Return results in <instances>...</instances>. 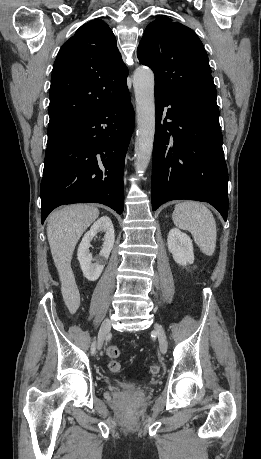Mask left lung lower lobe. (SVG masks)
I'll return each instance as SVG.
<instances>
[{"label": "left lung lower lobe", "mask_w": 261, "mask_h": 459, "mask_svg": "<svg viewBox=\"0 0 261 459\" xmlns=\"http://www.w3.org/2000/svg\"><path fill=\"white\" fill-rule=\"evenodd\" d=\"M155 111L153 210L170 200L206 201L226 221L228 172L218 107L187 103L155 90Z\"/></svg>", "instance_id": "left-lung-lower-lobe-1"}]
</instances>
